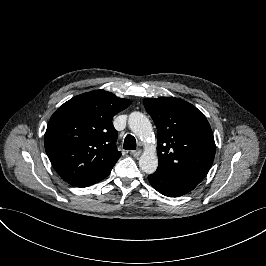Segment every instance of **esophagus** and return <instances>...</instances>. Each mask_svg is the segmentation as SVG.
Listing matches in <instances>:
<instances>
[{"mask_svg":"<svg viewBox=\"0 0 266 266\" xmlns=\"http://www.w3.org/2000/svg\"><path fill=\"white\" fill-rule=\"evenodd\" d=\"M130 154L133 157H139L141 155V150H133V151L130 152Z\"/></svg>","mask_w":266,"mask_h":266,"instance_id":"34e87169","label":"esophagus"}]
</instances>
